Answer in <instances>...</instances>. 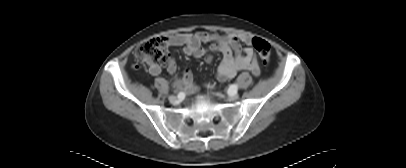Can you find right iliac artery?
Here are the masks:
<instances>
[{
  "label": "right iliac artery",
  "instance_id": "obj_1",
  "mask_svg": "<svg viewBox=\"0 0 406 168\" xmlns=\"http://www.w3.org/2000/svg\"><path fill=\"white\" fill-rule=\"evenodd\" d=\"M182 95H183V93H179V94H178V97H181Z\"/></svg>",
  "mask_w": 406,
  "mask_h": 168
}]
</instances>
